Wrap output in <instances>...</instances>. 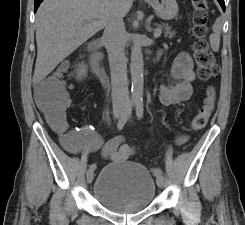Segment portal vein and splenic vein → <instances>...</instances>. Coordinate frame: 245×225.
<instances>
[{"instance_id":"18ae733b","label":"portal vein and splenic vein","mask_w":245,"mask_h":225,"mask_svg":"<svg viewBox=\"0 0 245 225\" xmlns=\"http://www.w3.org/2000/svg\"><path fill=\"white\" fill-rule=\"evenodd\" d=\"M162 33V28L161 27H157L155 30H154V38H158Z\"/></svg>"}]
</instances>
